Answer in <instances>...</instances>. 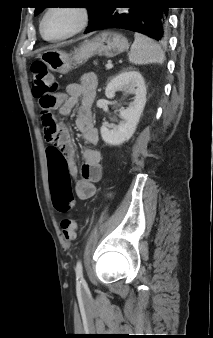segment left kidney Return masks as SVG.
<instances>
[{
	"mask_svg": "<svg viewBox=\"0 0 213 338\" xmlns=\"http://www.w3.org/2000/svg\"><path fill=\"white\" fill-rule=\"evenodd\" d=\"M134 89L133 102L126 109H120L122 121L116 126L103 125L102 139L108 145L118 146L128 141L134 134L146 104V87L142 75L133 70H123L108 83L105 95L112 98L119 90Z\"/></svg>",
	"mask_w": 213,
	"mask_h": 338,
	"instance_id": "left-kidney-1",
	"label": "left kidney"
}]
</instances>
